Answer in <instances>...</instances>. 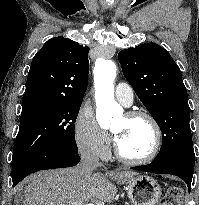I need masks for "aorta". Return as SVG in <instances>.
<instances>
[{
    "instance_id": "1",
    "label": "aorta",
    "mask_w": 199,
    "mask_h": 205,
    "mask_svg": "<svg viewBox=\"0 0 199 205\" xmlns=\"http://www.w3.org/2000/svg\"><path fill=\"white\" fill-rule=\"evenodd\" d=\"M116 71L111 60H100L94 69L96 118L100 126L108 125L113 116L122 113L121 106L114 100Z\"/></svg>"
}]
</instances>
